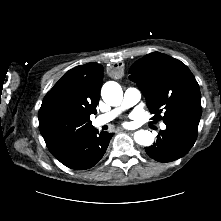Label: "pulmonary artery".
I'll return each mask as SVG.
<instances>
[{"label":"pulmonary artery","instance_id":"e3ab8cb5","mask_svg":"<svg viewBox=\"0 0 221 221\" xmlns=\"http://www.w3.org/2000/svg\"><path fill=\"white\" fill-rule=\"evenodd\" d=\"M141 99V93L136 88H127L123 95V100L120 108L114 109L105 114L99 115L93 120L95 127H101L110 122L122 109L129 108L137 104ZM162 129H166L165 124H161Z\"/></svg>","mask_w":221,"mask_h":221}]
</instances>
